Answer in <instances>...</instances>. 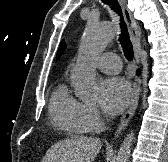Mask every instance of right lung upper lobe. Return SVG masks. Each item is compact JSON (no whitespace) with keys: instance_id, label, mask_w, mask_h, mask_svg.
<instances>
[{"instance_id":"1","label":"right lung upper lobe","mask_w":168,"mask_h":162,"mask_svg":"<svg viewBox=\"0 0 168 162\" xmlns=\"http://www.w3.org/2000/svg\"><path fill=\"white\" fill-rule=\"evenodd\" d=\"M64 48H65V43H64V41H62L60 43V46H59V49H58V52H57V57H56L57 59L61 56Z\"/></svg>"}]
</instances>
